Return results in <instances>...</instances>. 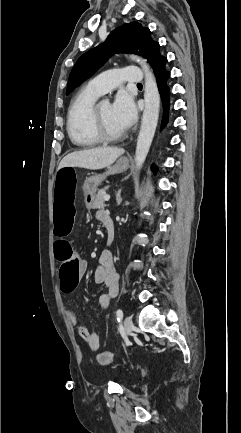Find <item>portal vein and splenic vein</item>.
Returning <instances> with one entry per match:
<instances>
[{
	"label": "portal vein and splenic vein",
	"instance_id": "portal-vein-and-splenic-vein-1",
	"mask_svg": "<svg viewBox=\"0 0 241 433\" xmlns=\"http://www.w3.org/2000/svg\"><path fill=\"white\" fill-rule=\"evenodd\" d=\"M109 199H110V195H105L104 200L109 201Z\"/></svg>",
	"mask_w": 241,
	"mask_h": 433
}]
</instances>
